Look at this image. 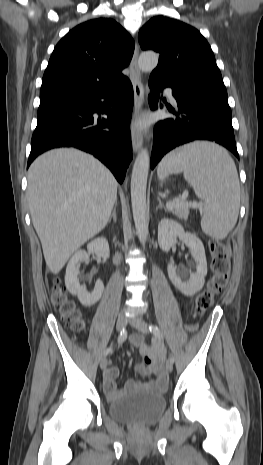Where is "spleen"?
I'll return each instance as SVG.
<instances>
[{"label":"spleen","mask_w":263,"mask_h":465,"mask_svg":"<svg viewBox=\"0 0 263 465\" xmlns=\"http://www.w3.org/2000/svg\"><path fill=\"white\" fill-rule=\"evenodd\" d=\"M179 172L204 200L203 232L224 239L236 224L240 206L238 173L228 152L210 142L185 145L166 155L157 169L161 180Z\"/></svg>","instance_id":"1"}]
</instances>
